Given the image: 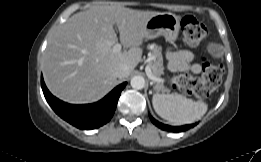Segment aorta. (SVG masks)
Masks as SVG:
<instances>
[{
    "instance_id": "obj_1",
    "label": "aorta",
    "mask_w": 261,
    "mask_h": 162,
    "mask_svg": "<svg viewBox=\"0 0 261 162\" xmlns=\"http://www.w3.org/2000/svg\"><path fill=\"white\" fill-rule=\"evenodd\" d=\"M131 87L141 90L145 87V79L142 76H134L130 81Z\"/></svg>"
}]
</instances>
